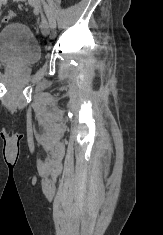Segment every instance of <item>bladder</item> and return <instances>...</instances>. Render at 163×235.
Instances as JSON below:
<instances>
[{"label":"bladder","instance_id":"1","mask_svg":"<svg viewBox=\"0 0 163 235\" xmlns=\"http://www.w3.org/2000/svg\"><path fill=\"white\" fill-rule=\"evenodd\" d=\"M41 59V48L31 29L23 23H9L0 29V62L12 66H33Z\"/></svg>","mask_w":163,"mask_h":235}]
</instances>
